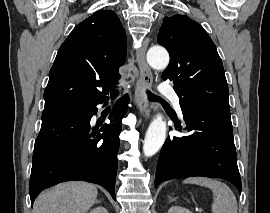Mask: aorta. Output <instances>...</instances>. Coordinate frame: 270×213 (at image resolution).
<instances>
[{
  "mask_svg": "<svg viewBox=\"0 0 270 213\" xmlns=\"http://www.w3.org/2000/svg\"><path fill=\"white\" fill-rule=\"evenodd\" d=\"M147 62L156 70H164L169 63V54L163 48L155 46L147 53ZM166 122L161 114H157L150 123L143 143V153L146 157L156 154L166 139Z\"/></svg>",
  "mask_w": 270,
  "mask_h": 213,
  "instance_id": "aorta-1",
  "label": "aorta"
}]
</instances>
